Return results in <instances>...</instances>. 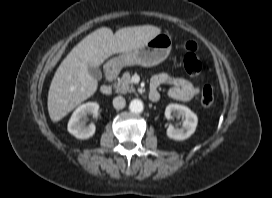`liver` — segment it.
Segmentation results:
<instances>
[{
    "label": "liver",
    "mask_w": 272,
    "mask_h": 198,
    "mask_svg": "<svg viewBox=\"0 0 272 198\" xmlns=\"http://www.w3.org/2000/svg\"><path fill=\"white\" fill-rule=\"evenodd\" d=\"M161 33L152 25L121 28L113 34L107 27L99 28L81 40L56 70L48 92V112L58 122L76 106L91 97L98 81L89 74V66L99 67L116 53H125L145 45Z\"/></svg>",
    "instance_id": "6515ba94"
}]
</instances>
